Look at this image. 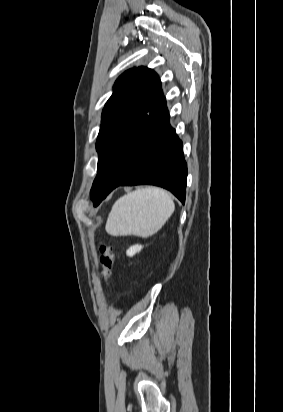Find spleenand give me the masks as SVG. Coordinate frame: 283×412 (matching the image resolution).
Listing matches in <instances>:
<instances>
[{
	"label": "spleen",
	"mask_w": 283,
	"mask_h": 412,
	"mask_svg": "<svg viewBox=\"0 0 283 412\" xmlns=\"http://www.w3.org/2000/svg\"><path fill=\"white\" fill-rule=\"evenodd\" d=\"M174 209L166 191L155 187L137 189L114 203L105 230L112 236L149 237L163 227Z\"/></svg>",
	"instance_id": "spleen-1"
}]
</instances>
